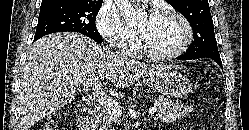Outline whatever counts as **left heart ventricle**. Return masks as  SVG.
Instances as JSON below:
<instances>
[{"mask_svg": "<svg viewBox=\"0 0 249 130\" xmlns=\"http://www.w3.org/2000/svg\"><path fill=\"white\" fill-rule=\"evenodd\" d=\"M138 28L146 46L158 53L174 49L184 36L183 26L177 19L162 15L151 22L143 19Z\"/></svg>", "mask_w": 249, "mask_h": 130, "instance_id": "b2bd125f", "label": "left heart ventricle"}]
</instances>
